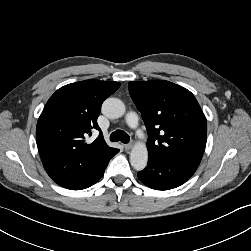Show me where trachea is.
I'll return each instance as SVG.
<instances>
[{
    "label": "trachea",
    "mask_w": 251,
    "mask_h": 251,
    "mask_svg": "<svg viewBox=\"0 0 251 251\" xmlns=\"http://www.w3.org/2000/svg\"><path fill=\"white\" fill-rule=\"evenodd\" d=\"M110 140L111 142L121 141L122 143L127 144L130 141V136L122 130H116L111 133Z\"/></svg>",
    "instance_id": "1"
}]
</instances>
